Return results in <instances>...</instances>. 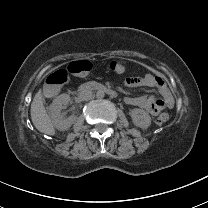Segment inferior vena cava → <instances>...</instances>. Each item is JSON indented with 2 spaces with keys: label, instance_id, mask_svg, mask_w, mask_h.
<instances>
[{
  "label": "inferior vena cava",
  "instance_id": "1",
  "mask_svg": "<svg viewBox=\"0 0 208 208\" xmlns=\"http://www.w3.org/2000/svg\"><path fill=\"white\" fill-rule=\"evenodd\" d=\"M78 98L82 101H88L92 98V92L88 89H83L79 92Z\"/></svg>",
  "mask_w": 208,
  "mask_h": 208
}]
</instances>
